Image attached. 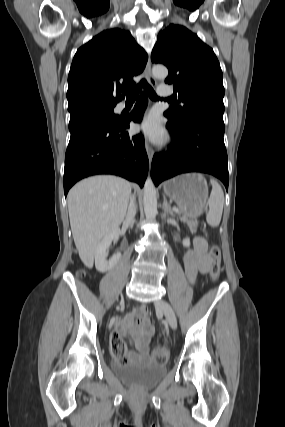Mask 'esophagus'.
<instances>
[{
  "mask_svg": "<svg viewBox=\"0 0 285 427\" xmlns=\"http://www.w3.org/2000/svg\"><path fill=\"white\" fill-rule=\"evenodd\" d=\"M144 72H145V76H146L149 84L151 86L155 87L157 85V82H156V80L153 77L152 72H151V61H150V59H148V62L146 64ZM145 148H146V152H147V156H148L149 162L151 163L152 159H153V156H154V150L151 147V145L149 144L148 140H146V142H145Z\"/></svg>",
  "mask_w": 285,
  "mask_h": 427,
  "instance_id": "esophagus-1",
  "label": "esophagus"
}]
</instances>
